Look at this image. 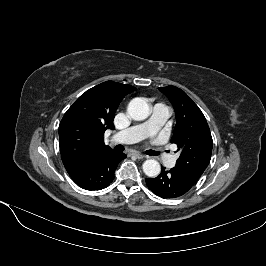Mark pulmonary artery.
Listing matches in <instances>:
<instances>
[{
  "label": "pulmonary artery",
  "instance_id": "obj_1",
  "mask_svg": "<svg viewBox=\"0 0 266 266\" xmlns=\"http://www.w3.org/2000/svg\"><path fill=\"white\" fill-rule=\"evenodd\" d=\"M169 117V110L162 104H156L152 109V115L150 119L141 125L133 126L122 130L112 136V141L121 144H130L139 141L145 136L154 134L159 127L167 120ZM157 151H162L161 148H157ZM160 157L162 161L168 167H172L175 164V157L167 154L161 153Z\"/></svg>",
  "mask_w": 266,
  "mask_h": 266
}]
</instances>
